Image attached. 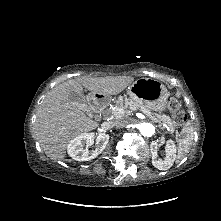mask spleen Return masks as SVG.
<instances>
[{"label": "spleen", "instance_id": "obj_1", "mask_svg": "<svg viewBox=\"0 0 221 221\" xmlns=\"http://www.w3.org/2000/svg\"><path fill=\"white\" fill-rule=\"evenodd\" d=\"M193 141V129L190 126H186L182 130V136L178 142V157L184 158L190 150Z\"/></svg>", "mask_w": 221, "mask_h": 221}]
</instances>
